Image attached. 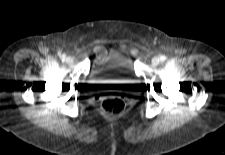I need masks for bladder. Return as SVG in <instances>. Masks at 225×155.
<instances>
[{
  "label": "bladder",
  "mask_w": 225,
  "mask_h": 155,
  "mask_svg": "<svg viewBox=\"0 0 225 155\" xmlns=\"http://www.w3.org/2000/svg\"><path fill=\"white\" fill-rule=\"evenodd\" d=\"M90 76L97 82L116 84L130 92L138 87L133 60L124 50H111L98 56Z\"/></svg>",
  "instance_id": "1"
}]
</instances>
